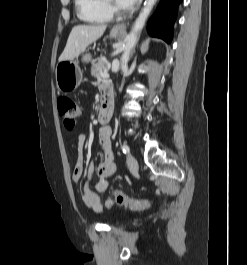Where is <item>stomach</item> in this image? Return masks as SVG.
Instances as JSON below:
<instances>
[{
	"label": "stomach",
	"mask_w": 247,
	"mask_h": 265,
	"mask_svg": "<svg viewBox=\"0 0 247 265\" xmlns=\"http://www.w3.org/2000/svg\"><path fill=\"white\" fill-rule=\"evenodd\" d=\"M121 32L112 30L110 38H117L121 36ZM92 60L90 54H85L82 57L83 62H90ZM56 85L60 92L69 93L74 91L82 82L83 74L79 67L78 60L60 61L55 68Z\"/></svg>",
	"instance_id": "obj_1"
}]
</instances>
